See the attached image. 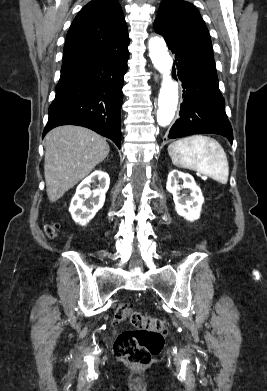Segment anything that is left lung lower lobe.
<instances>
[{
	"label": "left lung lower lobe",
	"mask_w": 267,
	"mask_h": 391,
	"mask_svg": "<svg viewBox=\"0 0 267 391\" xmlns=\"http://www.w3.org/2000/svg\"><path fill=\"white\" fill-rule=\"evenodd\" d=\"M175 54L172 76L182 82L184 98L180 116L169 131L174 139L192 134H219L232 143L233 132L224 110L225 100L218 87L214 57L167 41Z\"/></svg>",
	"instance_id": "left-lung-lower-lobe-1"
}]
</instances>
